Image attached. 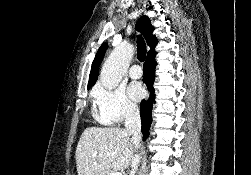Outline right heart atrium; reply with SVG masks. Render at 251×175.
<instances>
[{"instance_id":"right-heart-atrium-1","label":"right heart atrium","mask_w":251,"mask_h":175,"mask_svg":"<svg viewBox=\"0 0 251 175\" xmlns=\"http://www.w3.org/2000/svg\"><path fill=\"white\" fill-rule=\"evenodd\" d=\"M93 98L98 109L97 118L103 123L120 124L138 114L137 105L128 98L122 86L108 88L99 83Z\"/></svg>"}]
</instances>
